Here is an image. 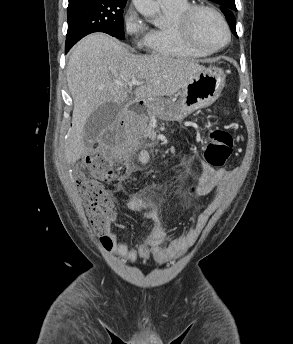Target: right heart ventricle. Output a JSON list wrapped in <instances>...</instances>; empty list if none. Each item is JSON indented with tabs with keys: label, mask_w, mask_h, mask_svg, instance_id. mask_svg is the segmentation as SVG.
Returning <instances> with one entry per match:
<instances>
[{
	"label": "right heart ventricle",
	"mask_w": 293,
	"mask_h": 344,
	"mask_svg": "<svg viewBox=\"0 0 293 344\" xmlns=\"http://www.w3.org/2000/svg\"><path fill=\"white\" fill-rule=\"evenodd\" d=\"M168 19L165 26L155 27L148 31L144 47L151 54L159 57L177 59H199L206 54L197 52L187 46L176 32L177 18L192 4L189 0H177L173 3L162 4Z\"/></svg>",
	"instance_id": "obj_1"
}]
</instances>
